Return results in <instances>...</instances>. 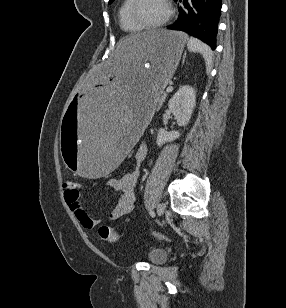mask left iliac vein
<instances>
[{
	"label": "left iliac vein",
	"instance_id": "obj_1",
	"mask_svg": "<svg viewBox=\"0 0 286 308\" xmlns=\"http://www.w3.org/2000/svg\"><path fill=\"white\" fill-rule=\"evenodd\" d=\"M165 212V204L164 203H159L157 205V213L159 216H162Z\"/></svg>",
	"mask_w": 286,
	"mask_h": 308
}]
</instances>
